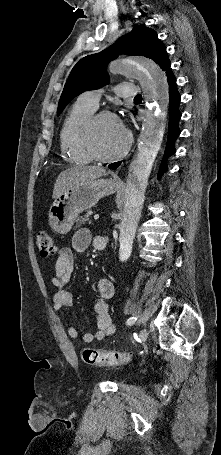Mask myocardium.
<instances>
[{
	"label": "myocardium",
	"instance_id": "myocardium-1",
	"mask_svg": "<svg viewBox=\"0 0 221 455\" xmlns=\"http://www.w3.org/2000/svg\"><path fill=\"white\" fill-rule=\"evenodd\" d=\"M105 117H112L118 119L117 115L108 110L94 112L83 124L81 129V144L84 151L88 154L91 160L98 162H111L123 157L131 148L132 135L129 132L126 136V141L123 147L115 153L109 155H101L93 146V133L97 123Z\"/></svg>",
	"mask_w": 221,
	"mask_h": 455
}]
</instances>
